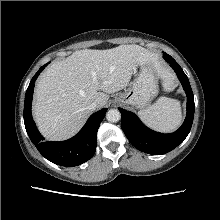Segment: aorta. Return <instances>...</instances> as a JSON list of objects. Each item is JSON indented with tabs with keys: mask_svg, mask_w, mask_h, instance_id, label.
I'll list each match as a JSON object with an SVG mask.
<instances>
[{
	"mask_svg": "<svg viewBox=\"0 0 220 220\" xmlns=\"http://www.w3.org/2000/svg\"><path fill=\"white\" fill-rule=\"evenodd\" d=\"M120 118H121V114H120L119 110H117V109H110L106 113V119L109 122H117L120 120Z\"/></svg>",
	"mask_w": 220,
	"mask_h": 220,
	"instance_id": "obj_1",
	"label": "aorta"
}]
</instances>
